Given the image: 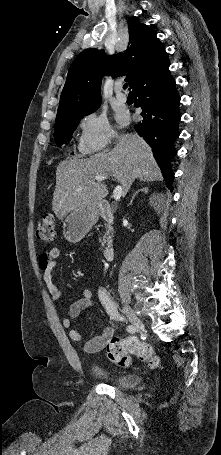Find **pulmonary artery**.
Returning <instances> with one entry per match:
<instances>
[{"mask_svg":"<svg viewBox=\"0 0 221 455\" xmlns=\"http://www.w3.org/2000/svg\"><path fill=\"white\" fill-rule=\"evenodd\" d=\"M115 95L118 102L125 103L127 101V96L122 92L121 86L115 88Z\"/></svg>","mask_w":221,"mask_h":455,"instance_id":"obj_1","label":"pulmonary artery"}]
</instances>
